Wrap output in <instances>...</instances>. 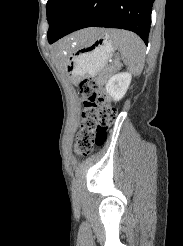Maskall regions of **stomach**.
Returning <instances> with one entry per match:
<instances>
[{
	"label": "stomach",
	"instance_id": "0dacf381",
	"mask_svg": "<svg viewBox=\"0 0 183 246\" xmlns=\"http://www.w3.org/2000/svg\"><path fill=\"white\" fill-rule=\"evenodd\" d=\"M102 30L96 38L65 50L68 53L67 74L72 81H77L85 75H96L111 58L114 43L109 34L110 30Z\"/></svg>",
	"mask_w": 183,
	"mask_h": 246
}]
</instances>
